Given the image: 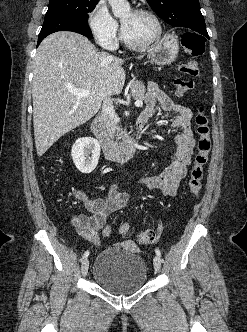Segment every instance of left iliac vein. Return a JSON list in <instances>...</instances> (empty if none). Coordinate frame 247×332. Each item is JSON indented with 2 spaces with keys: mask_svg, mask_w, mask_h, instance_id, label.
Here are the masks:
<instances>
[{
  "mask_svg": "<svg viewBox=\"0 0 247 332\" xmlns=\"http://www.w3.org/2000/svg\"><path fill=\"white\" fill-rule=\"evenodd\" d=\"M154 268L157 272L161 270V258L156 255L153 259Z\"/></svg>",
  "mask_w": 247,
  "mask_h": 332,
  "instance_id": "1",
  "label": "left iliac vein"
}]
</instances>
